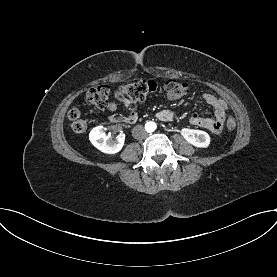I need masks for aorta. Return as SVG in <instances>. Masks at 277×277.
<instances>
[{
    "instance_id": "obj_1",
    "label": "aorta",
    "mask_w": 277,
    "mask_h": 277,
    "mask_svg": "<svg viewBox=\"0 0 277 277\" xmlns=\"http://www.w3.org/2000/svg\"><path fill=\"white\" fill-rule=\"evenodd\" d=\"M146 129L148 132H153L156 129V125L154 122H148L146 124Z\"/></svg>"
}]
</instances>
